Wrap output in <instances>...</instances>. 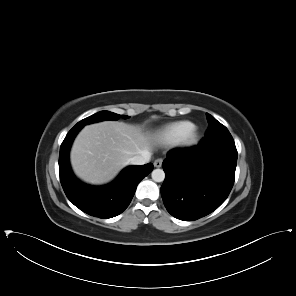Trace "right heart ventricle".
Returning <instances> with one entry per match:
<instances>
[{"instance_id": "obj_1", "label": "right heart ventricle", "mask_w": 296, "mask_h": 296, "mask_svg": "<svg viewBox=\"0 0 296 296\" xmlns=\"http://www.w3.org/2000/svg\"><path fill=\"white\" fill-rule=\"evenodd\" d=\"M193 127L190 121H176L165 125L158 132L159 138L166 144L180 142L184 135Z\"/></svg>"}]
</instances>
